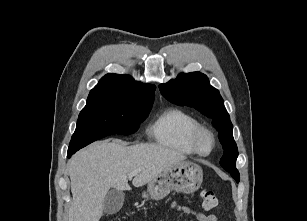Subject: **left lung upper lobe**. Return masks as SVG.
Masks as SVG:
<instances>
[{
	"label": "left lung upper lobe",
	"mask_w": 307,
	"mask_h": 221,
	"mask_svg": "<svg viewBox=\"0 0 307 221\" xmlns=\"http://www.w3.org/2000/svg\"><path fill=\"white\" fill-rule=\"evenodd\" d=\"M159 89L172 103L194 107L213 119L224 149L220 165L239 182L235 166L238 148L233 138V125L219 91L210 85L207 76L200 72L181 73L175 80L160 84Z\"/></svg>",
	"instance_id": "1"
}]
</instances>
